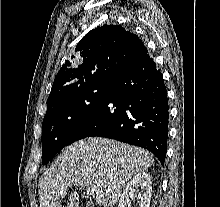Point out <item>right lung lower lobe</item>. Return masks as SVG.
<instances>
[{"label":"right lung lower lobe","mask_w":220,"mask_h":207,"mask_svg":"<svg viewBox=\"0 0 220 207\" xmlns=\"http://www.w3.org/2000/svg\"><path fill=\"white\" fill-rule=\"evenodd\" d=\"M168 119L163 76L146 54L108 82L99 106L75 130L69 144L90 136L107 137L143 147L164 164Z\"/></svg>","instance_id":"right-lung-lower-lobe-1"}]
</instances>
